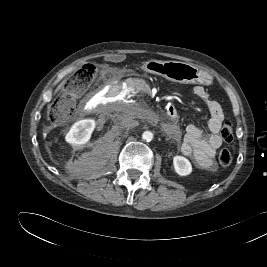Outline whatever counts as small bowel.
<instances>
[{"label": "small bowel", "mask_w": 267, "mask_h": 267, "mask_svg": "<svg viewBox=\"0 0 267 267\" xmlns=\"http://www.w3.org/2000/svg\"><path fill=\"white\" fill-rule=\"evenodd\" d=\"M193 94L205 103L209 111L208 128L210 134H204L193 124L188 125L181 152L190 157L198 167L212 171L216 169L214 156L222 145L219 131L224 120V113L221 105L210 98L209 93L203 86H195Z\"/></svg>", "instance_id": "small-bowel-1"}]
</instances>
